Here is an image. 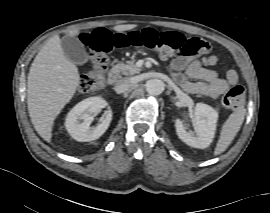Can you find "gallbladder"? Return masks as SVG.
Segmentation results:
<instances>
[{"instance_id": "obj_1", "label": "gallbladder", "mask_w": 270, "mask_h": 213, "mask_svg": "<svg viewBox=\"0 0 270 213\" xmlns=\"http://www.w3.org/2000/svg\"><path fill=\"white\" fill-rule=\"evenodd\" d=\"M61 46L69 61L82 65L88 61V54L83 43L74 36L65 35L61 38Z\"/></svg>"}]
</instances>
